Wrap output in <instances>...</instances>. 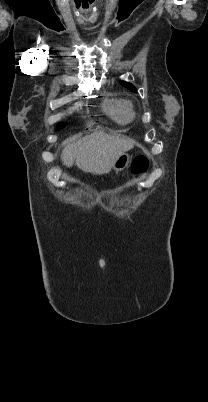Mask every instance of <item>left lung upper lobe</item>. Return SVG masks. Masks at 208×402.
<instances>
[{
    "mask_svg": "<svg viewBox=\"0 0 208 402\" xmlns=\"http://www.w3.org/2000/svg\"><path fill=\"white\" fill-rule=\"evenodd\" d=\"M121 85L127 87L128 89H130V90L133 91V92H137V91H136V88H135L132 84H130V83H127V82L122 81V82H121Z\"/></svg>",
    "mask_w": 208,
    "mask_h": 402,
    "instance_id": "1",
    "label": "left lung upper lobe"
}]
</instances>
